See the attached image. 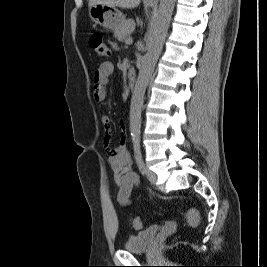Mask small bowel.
I'll return each mask as SVG.
<instances>
[{
    "label": "small bowel",
    "instance_id": "small-bowel-1",
    "mask_svg": "<svg viewBox=\"0 0 267 267\" xmlns=\"http://www.w3.org/2000/svg\"><path fill=\"white\" fill-rule=\"evenodd\" d=\"M114 72L113 63L106 61L101 63L94 73L93 97L95 101L102 102L106 98V86L109 77ZM101 122L105 130V142L111 139V119L107 114L101 116ZM121 130L119 145L108 149L109 163L114 172V181L118 186L117 200L121 205L130 204V196L140 183V178L131 169V158L126 150V125L124 121L119 122Z\"/></svg>",
    "mask_w": 267,
    "mask_h": 267
}]
</instances>
